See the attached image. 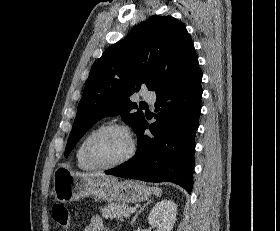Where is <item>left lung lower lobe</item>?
<instances>
[{
	"instance_id": "0a47b994",
	"label": "left lung lower lobe",
	"mask_w": 280,
	"mask_h": 231,
	"mask_svg": "<svg viewBox=\"0 0 280 231\" xmlns=\"http://www.w3.org/2000/svg\"><path fill=\"white\" fill-rule=\"evenodd\" d=\"M201 80L202 71L197 67L188 77L156 92V122L149 127L145 116L138 122L135 156L105 173L147 182H173L191 193ZM148 127L150 135L144 134Z\"/></svg>"
}]
</instances>
